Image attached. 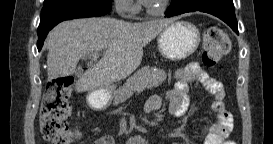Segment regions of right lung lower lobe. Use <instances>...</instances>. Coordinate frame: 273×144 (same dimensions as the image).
I'll use <instances>...</instances> for the list:
<instances>
[{
	"label": "right lung lower lobe",
	"mask_w": 273,
	"mask_h": 144,
	"mask_svg": "<svg viewBox=\"0 0 273 144\" xmlns=\"http://www.w3.org/2000/svg\"><path fill=\"white\" fill-rule=\"evenodd\" d=\"M112 0H53L44 4L38 27L37 48L40 51L48 32L64 20L106 15Z\"/></svg>",
	"instance_id": "1"
}]
</instances>
